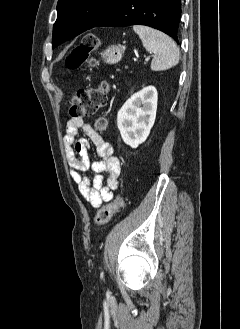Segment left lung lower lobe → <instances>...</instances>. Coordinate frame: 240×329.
<instances>
[{
    "label": "left lung lower lobe",
    "mask_w": 240,
    "mask_h": 329,
    "mask_svg": "<svg viewBox=\"0 0 240 329\" xmlns=\"http://www.w3.org/2000/svg\"><path fill=\"white\" fill-rule=\"evenodd\" d=\"M180 15L181 0H120L96 26L146 25L168 34L179 43Z\"/></svg>",
    "instance_id": "left-lung-lower-lobe-1"
}]
</instances>
